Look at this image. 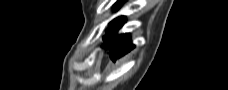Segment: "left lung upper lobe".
<instances>
[{"label": "left lung upper lobe", "mask_w": 228, "mask_h": 90, "mask_svg": "<svg viewBox=\"0 0 228 90\" xmlns=\"http://www.w3.org/2000/svg\"><path fill=\"white\" fill-rule=\"evenodd\" d=\"M123 2H124L123 0H119L117 3H115V9H118L122 5ZM116 22H117V18L108 24V29L112 28Z\"/></svg>", "instance_id": "5c2ea615"}]
</instances>
